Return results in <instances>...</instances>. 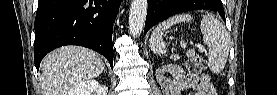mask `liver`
<instances>
[{"label": "liver", "mask_w": 277, "mask_h": 95, "mask_svg": "<svg viewBox=\"0 0 277 95\" xmlns=\"http://www.w3.org/2000/svg\"><path fill=\"white\" fill-rule=\"evenodd\" d=\"M41 68L44 95H69L80 82L98 77L105 65L92 50L65 46L49 53L42 60Z\"/></svg>", "instance_id": "obj_1"}]
</instances>
